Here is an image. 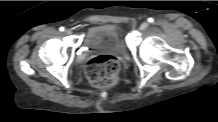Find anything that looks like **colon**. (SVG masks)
<instances>
[{"label":"colon","mask_w":218,"mask_h":122,"mask_svg":"<svg viewBox=\"0 0 218 122\" xmlns=\"http://www.w3.org/2000/svg\"><path fill=\"white\" fill-rule=\"evenodd\" d=\"M119 60L112 55H99L91 59L86 68L88 81L96 87H112L118 81Z\"/></svg>","instance_id":"1"}]
</instances>
